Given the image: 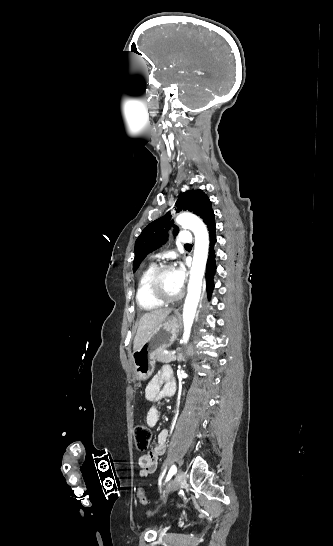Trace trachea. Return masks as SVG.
<instances>
[{
    "mask_svg": "<svg viewBox=\"0 0 333 546\" xmlns=\"http://www.w3.org/2000/svg\"><path fill=\"white\" fill-rule=\"evenodd\" d=\"M191 245L190 244H186L185 247H190Z\"/></svg>",
    "mask_w": 333,
    "mask_h": 546,
    "instance_id": "3493384b",
    "label": "trachea"
}]
</instances>
